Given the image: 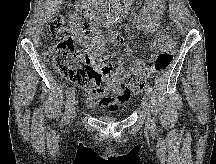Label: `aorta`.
Masks as SVG:
<instances>
[{
    "label": "aorta",
    "instance_id": "aorta-1",
    "mask_svg": "<svg viewBox=\"0 0 216 164\" xmlns=\"http://www.w3.org/2000/svg\"><path fill=\"white\" fill-rule=\"evenodd\" d=\"M109 1V8L110 14L113 17L119 16L120 13V0H108Z\"/></svg>",
    "mask_w": 216,
    "mask_h": 164
}]
</instances>
